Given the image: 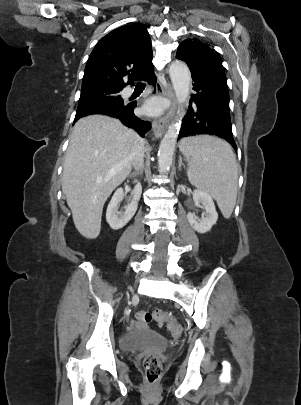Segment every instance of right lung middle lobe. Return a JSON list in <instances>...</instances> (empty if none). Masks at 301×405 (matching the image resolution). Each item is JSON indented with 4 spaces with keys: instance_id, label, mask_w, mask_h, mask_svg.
I'll use <instances>...</instances> for the list:
<instances>
[{
    "instance_id": "right-lung-middle-lobe-1",
    "label": "right lung middle lobe",
    "mask_w": 301,
    "mask_h": 405,
    "mask_svg": "<svg viewBox=\"0 0 301 405\" xmlns=\"http://www.w3.org/2000/svg\"><path fill=\"white\" fill-rule=\"evenodd\" d=\"M120 91L121 89L109 87L82 89L77 114L100 107L125 105L123 99L119 95Z\"/></svg>"
}]
</instances>
